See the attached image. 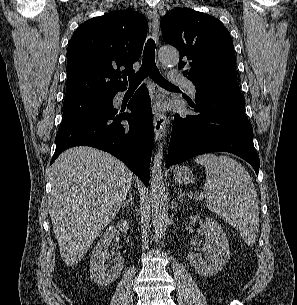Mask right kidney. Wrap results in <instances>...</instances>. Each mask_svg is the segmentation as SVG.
Listing matches in <instances>:
<instances>
[{
    "label": "right kidney",
    "mask_w": 297,
    "mask_h": 305,
    "mask_svg": "<svg viewBox=\"0 0 297 305\" xmlns=\"http://www.w3.org/2000/svg\"><path fill=\"white\" fill-rule=\"evenodd\" d=\"M128 228L129 222L121 220L116 227L111 225L102 234L90 258V277L94 283L100 286H107L113 283L121 274L124 262L121 256H116L113 259L114 264L110 265V267L105 266V262L111 259L108 247L115 239L118 230L127 232Z\"/></svg>",
    "instance_id": "1"
}]
</instances>
